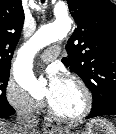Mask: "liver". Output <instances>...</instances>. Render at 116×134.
Returning a JSON list of instances; mask_svg holds the SVG:
<instances>
[{"label": "liver", "mask_w": 116, "mask_h": 134, "mask_svg": "<svg viewBox=\"0 0 116 134\" xmlns=\"http://www.w3.org/2000/svg\"><path fill=\"white\" fill-rule=\"evenodd\" d=\"M0 134H19L15 125L0 121Z\"/></svg>", "instance_id": "1"}]
</instances>
